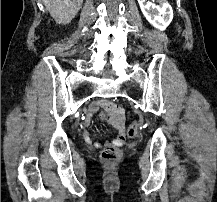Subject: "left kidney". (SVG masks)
<instances>
[{
  "label": "left kidney",
  "mask_w": 217,
  "mask_h": 202,
  "mask_svg": "<svg viewBox=\"0 0 217 202\" xmlns=\"http://www.w3.org/2000/svg\"><path fill=\"white\" fill-rule=\"evenodd\" d=\"M157 2L160 6H156V4L149 2V0H138L141 12L146 20L154 28H158V30L163 32L173 20V10L166 0H157Z\"/></svg>",
  "instance_id": "obj_1"
}]
</instances>
